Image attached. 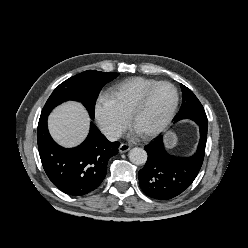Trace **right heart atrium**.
<instances>
[{"mask_svg":"<svg viewBox=\"0 0 248 248\" xmlns=\"http://www.w3.org/2000/svg\"><path fill=\"white\" fill-rule=\"evenodd\" d=\"M93 112L97 125L109 139L119 138L127 127L128 119L119 111L114 101L106 93L98 95Z\"/></svg>","mask_w":248,"mask_h":248,"instance_id":"obj_1","label":"right heart atrium"}]
</instances>
